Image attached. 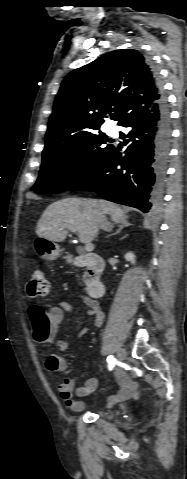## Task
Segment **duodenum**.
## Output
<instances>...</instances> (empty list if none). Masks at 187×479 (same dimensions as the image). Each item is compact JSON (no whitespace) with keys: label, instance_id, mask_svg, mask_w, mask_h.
I'll use <instances>...</instances> for the list:
<instances>
[{"label":"duodenum","instance_id":"1","mask_svg":"<svg viewBox=\"0 0 187 479\" xmlns=\"http://www.w3.org/2000/svg\"><path fill=\"white\" fill-rule=\"evenodd\" d=\"M73 264L87 271V293L91 298H100L104 294V285L99 278V273L104 267L103 260L96 254L84 253L73 259Z\"/></svg>","mask_w":187,"mask_h":479}]
</instances>
